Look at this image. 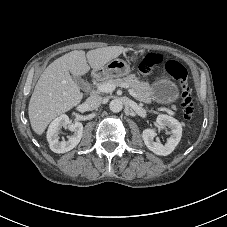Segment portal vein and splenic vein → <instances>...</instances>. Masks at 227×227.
<instances>
[{"mask_svg": "<svg viewBox=\"0 0 227 227\" xmlns=\"http://www.w3.org/2000/svg\"><path fill=\"white\" fill-rule=\"evenodd\" d=\"M117 86L113 83H101L97 86V90L99 92H104V93H111L115 90ZM120 87H123V88H129V85L128 84H121ZM129 92L130 94H134L133 91L131 89H129ZM165 111H167L170 115H174V112L170 109H166V108H161Z\"/></svg>", "mask_w": 227, "mask_h": 227, "instance_id": "18ae733b", "label": "portal vein and splenic vein"}]
</instances>
